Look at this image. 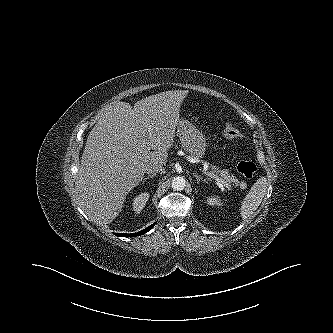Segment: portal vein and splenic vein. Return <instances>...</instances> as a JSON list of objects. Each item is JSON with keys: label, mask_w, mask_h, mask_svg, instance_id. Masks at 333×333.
I'll return each instance as SVG.
<instances>
[{"label": "portal vein and splenic vein", "mask_w": 333, "mask_h": 333, "mask_svg": "<svg viewBox=\"0 0 333 333\" xmlns=\"http://www.w3.org/2000/svg\"><path fill=\"white\" fill-rule=\"evenodd\" d=\"M192 162L195 163L196 160L195 159H192ZM204 174H206L208 177L210 178H213L214 180H216L220 185L224 186L225 188H227L228 190H232V187L227 183L225 182L222 178L216 176L215 174L211 173V172H208V171H204Z\"/></svg>", "instance_id": "obj_1"}]
</instances>
